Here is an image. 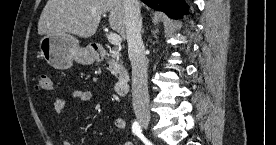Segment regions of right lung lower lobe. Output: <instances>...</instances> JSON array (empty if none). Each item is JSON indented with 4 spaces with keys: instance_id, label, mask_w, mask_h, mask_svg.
<instances>
[{
    "instance_id": "98d812e1",
    "label": "right lung lower lobe",
    "mask_w": 276,
    "mask_h": 145,
    "mask_svg": "<svg viewBox=\"0 0 276 145\" xmlns=\"http://www.w3.org/2000/svg\"><path fill=\"white\" fill-rule=\"evenodd\" d=\"M149 7L165 12L170 18L180 19L187 13L183 0H142Z\"/></svg>"
}]
</instances>
